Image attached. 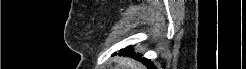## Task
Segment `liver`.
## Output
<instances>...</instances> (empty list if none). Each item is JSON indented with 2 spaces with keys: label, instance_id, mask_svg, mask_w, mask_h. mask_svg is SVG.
<instances>
[{
  "label": "liver",
  "instance_id": "1",
  "mask_svg": "<svg viewBox=\"0 0 246 69\" xmlns=\"http://www.w3.org/2000/svg\"><path fill=\"white\" fill-rule=\"evenodd\" d=\"M118 69H145L139 62L129 58H118Z\"/></svg>",
  "mask_w": 246,
  "mask_h": 69
}]
</instances>
